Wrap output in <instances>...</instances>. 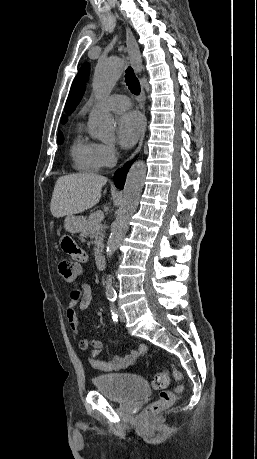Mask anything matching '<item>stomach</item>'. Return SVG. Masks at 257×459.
I'll return each mask as SVG.
<instances>
[{
    "instance_id": "1",
    "label": "stomach",
    "mask_w": 257,
    "mask_h": 459,
    "mask_svg": "<svg viewBox=\"0 0 257 459\" xmlns=\"http://www.w3.org/2000/svg\"><path fill=\"white\" fill-rule=\"evenodd\" d=\"M85 222L82 216L68 215L65 218L64 227L68 232L76 234L82 231Z\"/></svg>"
}]
</instances>
